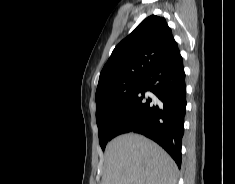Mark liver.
Here are the masks:
<instances>
[{"instance_id":"1","label":"liver","mask_w":235,"mask_h":184,"mask_svg":"<svg viewBox=\"0 0 235 184\" xmlns=\"http://www.w3.org/2000/svg\"><path fill=\"white\" fill-rule=\"evenodd\" d=\"M102 184H177L178 168L152 140L123 134L106 146Z\"/></svg>"}]
</instances>
